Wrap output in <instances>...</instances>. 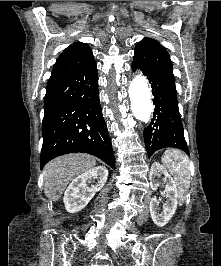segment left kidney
Here are the masks:
<instances>
[{
    "mask_svg": "<svg viewBox=\"0 0 221 266\" xmlns=\"http://www.w3.org/2000/svg\"><path fill=\"white\" fill-rule=\"evenodd\" d=\"M159 175H164L165 193H166L165 196L167 198V201L165 203V206L163 207V211L159 213L158 211L159 201L154 196L150 201L149 209L153 222L158 227H163L169 222V220L172 218L173 214L175 213L179 195L175 181L159 162H154L153 165L151 166L150 175H149L151 188L152 189L157 188L156 177Z\"/></svg>",
    "mask_w": 221,
    "mask_h": 266,
    "instance_id": "obj_1",
    "label": "left kidney"
}]
</instances>
